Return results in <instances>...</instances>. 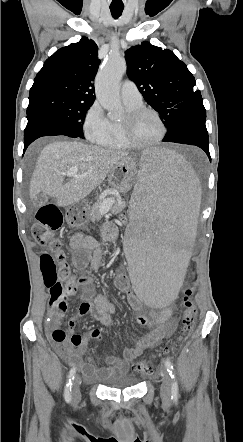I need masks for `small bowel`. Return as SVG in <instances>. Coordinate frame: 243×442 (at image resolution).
<instances>
[{
    "label": "small bowel",
    "mask_w": 243,
    "mask_h": 442,
    "mask_svg": "<svg viewBox=\"0 0 243 442\" xmlns=\"http://www.w3.org/2000/svg\"><path fill=\"white\" fill-rule=\"evenodd\" d=\"M116 235L117 230L114 224L108 223L103 226V241H112L116 238ZM70 247L72 249V260L76 268L84 269L89 266L93 271L100 268L106 250L96 238L82 232L75 233L70 239ZM82 283L86 286L82 290L79 310L70 318L68 323L70 338L64 341H53L59 347L61 354L71 364L80 366L83 373L90 379L102 380L115 374L126 373L130 364L144 351L156 347L162 340L171 335L174 329L172 310L171 308H165L154 313L150 319L142 315L137 317V323L146 326L148 331L139 338L133 337L134 345L125 348L121 356H107L103 366L96 365L90 355L83 358L87 349V339L76 332V322L81 317L88 315L108 325L111 322L112 315L118 312L119 307L91 286L92 278H83ZM115 285L119 290L128 294L132 307L137 308L139 306L140 300L131 292L130 280L124 273L118 272L116 274ZM66 309V304L50 308L45 325L52 334L55 330L61 329V318ZM90 338L94 342H99L102 338L101 331L94 329L90 334Z\"/></svg>",
    "instance_id": "1"
}]
</instances>
